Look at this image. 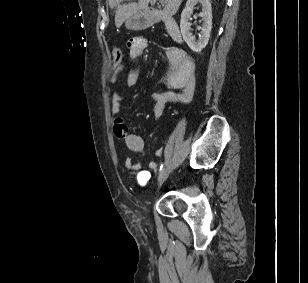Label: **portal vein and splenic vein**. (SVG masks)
Listing matches in <instances>:
<instances>
[{
	"label": "portal vein and splenic vein",
	"instance_id": "portal-vein-and-splenic-vein-1",
	"mask_svg": "<svg viewBox=\"0 0 308 283\" xmlns=\"http://www.w3.org/2000/svg\"><path fill=\"white\" fill-rule=\"evenodd\" d=\"M152 1H154V2H155L156 0H152ZM159 1H160V3H163V0H159Z\"/></svg>",
	"mask_w": 308,
	"mask_h": 283
}]
</instances>
